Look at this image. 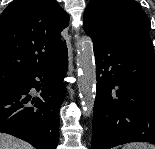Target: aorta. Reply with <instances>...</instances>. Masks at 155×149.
Wrapping results in <instances>:
<instances>
[{
  "label": "aorta",
  "instance_id": "obj_1",
  "mask_svg": "<svg viewBox=\"0 0 155 149\" xmlns=\"http://www.w3.org/2000/svg\"><path fill=\"white\" fill-rule=\"evenodd\" d=\"M78 90L84 116H90L95 104L96 66L93 42L89 37H83L79 43L77 54Z\"/></svg>",
  "mask_w": 155,
  "mask_h": 149
}]
</instances>
